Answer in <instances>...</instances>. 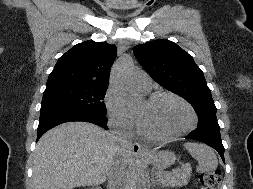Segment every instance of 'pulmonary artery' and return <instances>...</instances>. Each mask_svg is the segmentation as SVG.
Masks as SVG:
<instances>
[{"label": "pulmonary artery", "instance_id": "pulmonary-artery-1", "mask_svg": "<svg viewBox=\"0 0 253 189\" xmlns=\"http://www.w3.org/2000/svg\"><path fill=\"white\" fill-rule=\"evenodd\" d=\"M135 85L142 91H149L152 86V81L146 74H140L135 79Z\"/></svg>", "mask_w": 253, "mask_h": 189}]
</instances>
